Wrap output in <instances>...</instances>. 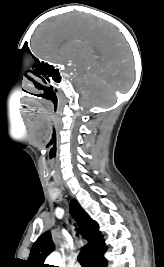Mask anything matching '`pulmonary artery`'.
Instances as JSON below:
<instances>
[{
  "instance_id": "pulmonary-artery-1",
  "label": "pulmonary artery",
  "mask_w": 164,
  "mask_h": 267,
  "mask_svg": "<svg viewBox=\"0 0 164 267\" xmlns=\"http://www.w3.org/2000/svg\"><path fill=\"white\" fill-rule=\"evenodd\" d=\"M74 267H80V265L79 264H76V265H74Z\"/></svg>"
}]
</instances>
